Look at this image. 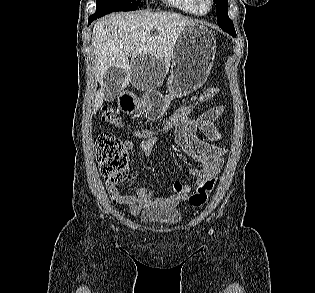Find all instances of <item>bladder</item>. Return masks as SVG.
<instances>
[{"label": "bladder", "mask_w": 315, "mask_h": 293, "mask_svg": "<svg viewBox=\"0 0 315 293\" xmlns=\"http://www.w3.org/2000/svg\"><path fill=\"white\" fill-rule=\"evenodd\" d=\"M181 213L172 208L156 206L144 211L140 221L145 224H166L174 225L181 221Z\"/></svg>", "instance_id": "bladder-1"}]
</instances>
